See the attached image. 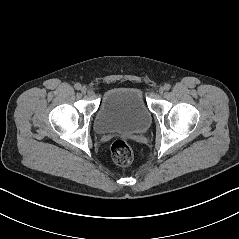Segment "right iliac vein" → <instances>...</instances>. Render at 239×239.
<instances>
[{"mask_svg":"<svg viewBox=\"0 0 239 239\" xmlns=\"http://www.w3.org/2000/svg\"><path fill=\"white\" fill-rule=\"evenodd\" d=\"M81 92L83 94H86L87 93V88L85 86L81 87Z\"/></svg>","mask_w":239,"mask_h":239,"instance_id":"1","label":"right iliac vein"}]
</instances>
